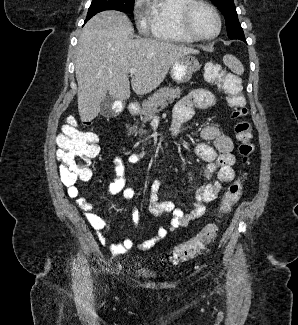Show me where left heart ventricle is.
Segmentation results:
<instances>
[{
  "instance_id": "1",
  "label": "left heart ventricle",
  "mask_w": 298,
  "mask_h": 325,
  "mask_svg": "<svg viewBox=\"0 0 298 325\" xmlns=\"http://www.w3.org/2000/svg\"><path fill=\"white\" fill-rule=\"evenodd\" d=\"M189 25L196 35L207 40L216 30V23L212 15L202 7H197L190 16Z\"/></svg>"
}]
</instances>
